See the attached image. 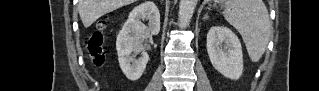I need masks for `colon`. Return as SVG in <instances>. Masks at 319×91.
Returning a JSON list of instances; mask_svg holds the SVG:
<instances>
[{"mask_svg":"<svg viewBox=\"0 0 319 91\" xmlns=\"http://www.w3.org/2000/svg\"><path fill=\"white\" fill-rule=\"evenodd\" d=\"M106 27V21H100L96 24L95 29L86 41V49L89 56L97 64H101L104 60L103 54V31Z\"/></svg>","mask_w":319,"mask_h":91,"instance_id":"5ec220e1","label":"colon"}]
</instances>
